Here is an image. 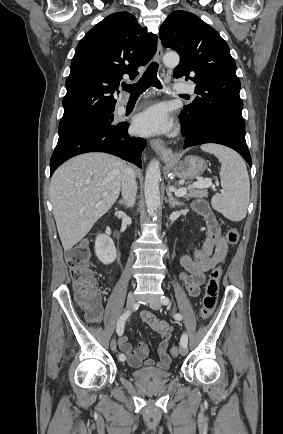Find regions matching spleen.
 Listing matches in <instances>:
<instances>
[{
  "mask_svg": "<svg viewBox=\"0 0 283 434\" xmlns=\"http://www.w3.org/2000/svg\"><path fill=\"white\" fill-rule=\"evenodd\" d=\"M215 155L221 163L220 178L223 191L212 198V207L232 221L246 217L250 197V182L243 159L233 150L216 144L201 146Z\"/></svg>",
  "mask_w": 283,
  "mask_h": 434,
  "instance_id": "obj_1",
  "label": "spleen"
}]
</instances>
